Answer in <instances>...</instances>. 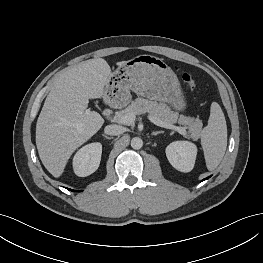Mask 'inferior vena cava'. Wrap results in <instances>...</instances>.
I'll return each instance as SVG.
<instances>
[{
  "label": "inferior vena cava",
  "mask_w": 263,
  "mask_h": 263,
  "mask_svg": "<svg viewBox=\"0 0 263 263\" xmlns=\"http://www.w3.org/2000/svg\"><path fill=\"white\" fill-rule=\"evenodd\" d=\"M104 132L108 135H119L125 132V128L119 125H107L104 129Z\"/></svg>",
  "instance_id": "inferior-vena-cava-1"
}]
</instances>
